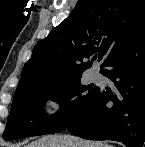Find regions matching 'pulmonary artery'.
<instances>
[{
  "mask_svg": "<svg viewBox=\"0 0 145 147\" xmlns=\"http://www.w3.org/2000/svg\"><path fill=\"white\" fill-rule=\"evenodd\" d=\"M98 74V72L95 70L93 71V75L96 76Z\"/></svg>",
  "mask_w": 145,
  "mask_h": 147,
  "instance_id": "pulmonary-artery-1",
  "label": "pulmonary artery"
}]
</instances>
